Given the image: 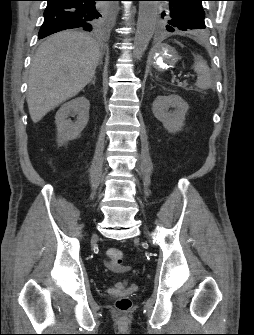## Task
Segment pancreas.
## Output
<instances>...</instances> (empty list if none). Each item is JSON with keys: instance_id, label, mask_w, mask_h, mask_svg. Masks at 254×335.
Segmentation results:
<instances>
[{"instance_id": "pancreas-1", "label": "pancreas", "mask_w": 254, "mask_h": 335, "mask_svg": "<svg viewBox=\"0 0 254 335\" xmlns=\"http://www.w3.org/2000/svg\"><path fill=\"white\" fill-rule=\"evenodd\" d=\"M182 87L185 88L186 90H191V87L187 88V83H184Z\"/></svg>"}]
</instances>
